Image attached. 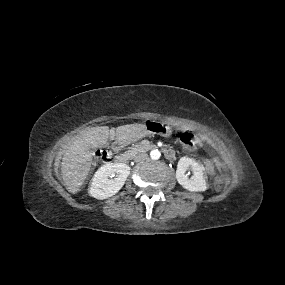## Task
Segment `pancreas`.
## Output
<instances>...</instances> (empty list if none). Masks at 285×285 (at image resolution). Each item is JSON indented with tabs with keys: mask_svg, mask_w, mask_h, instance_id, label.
<instances>
[{
	"mask_svg": "<svg viewBox=\"0 0 285 285\" xmlns=\"http://www.w3.org/2000/svg\"><path fill=\"white\" fill-rule=\"evenodd\" d=\"M146 149H147V147L144 144H137L132 148V151L141 152V151H144Z\"/></svg>",
	"mask_w": 285,
	"mask_h": 285,
	"instance_id": "pancreas-1",
	"label": "pancreas"
}]
</instances>
